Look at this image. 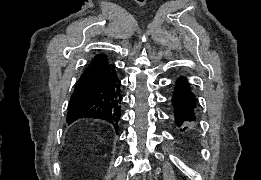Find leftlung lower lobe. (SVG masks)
Segmentation results:
<instances>
[{
	"mask_svg": "<svg viewBox=\"0 0 261 180\" xmlns=\"http://www.w3.org/2000/svg\"><path fill=\"white\" fill-rule=\"evenodd\" d=\"M171 102L174 121L180 131L186 130L196 122L198 103L187 78L180 76L176 80Z\"/></svg>",
	"mask_w": 261,
	"mask_h": 180,
	"instance_id": "1",
	"label": "left lung lower lobe"
}]
</instances>
